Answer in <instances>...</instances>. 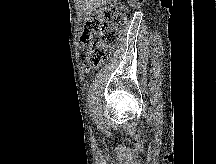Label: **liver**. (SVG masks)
I'll list each match as a JSON object with an SVG mask.
<instances>
[{
  "label": "liver",
  "mask_w": 216,
  "mask_h": 164,
  "mask_svg": "<svg viewBox=\"0 0 216 164\" xmlns=\"http://www.w3.org/2000/svg\"><path fill=\"white\" fill-rule=\"evenodd\" d=\"M117 1L118 0H85L86 2L85 10H86V13L89 14L100 6H104L107 3L117 2Z\"/></svg>",
  "instance_id": "6515ba94"
}]
</instances>
